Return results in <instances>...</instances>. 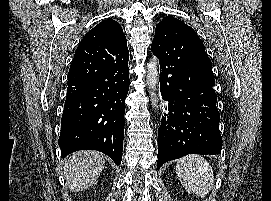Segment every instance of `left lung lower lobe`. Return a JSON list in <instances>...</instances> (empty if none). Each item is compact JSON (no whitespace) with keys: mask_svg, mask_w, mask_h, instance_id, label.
<instances>
[{"mask_svg":"<svg viewBox=\"0 0 271 201\" xmlns=\"http://www.w3.org/2000/svg\"><path fill=\"white\" fill-rule=\"evenodd\" d=\"M160 61V92L168 102L158 131L159 169L188 154L221 152L217 95L204 78L196 50L185 29L161 46L152 45Z\"/></svg>","mask_w":271,"mask_h":201,"instance_id":"0a47b994","label":"left lung lower lobe"}]
</instances>
